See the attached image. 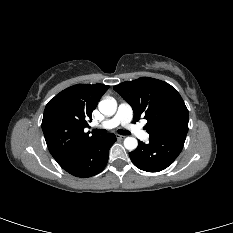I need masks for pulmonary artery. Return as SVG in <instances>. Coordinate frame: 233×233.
<instances>
[{
  "label": "pulmonary artery",
  "mask_w": 233,
  "mask_h": 233,
  "mask_svg": "<svg viewBox=\"0 0 233 233\" xmlns=\"http://www.w3.org/2000/svg\"><path fill=\"white\" fill-rule=\"evenodd\" d=\"M132 117V107L128 103L123 102L119 105L117 113L112 118L102 122L97 127L104 129H112L119 125H122L139 139L147 140L149 138L148 133L142 130L139 126L132 124Z\"/></svg>",
  "instance_id": "pulmonary-artery-1"
}]
</instances>
